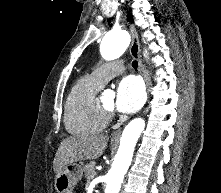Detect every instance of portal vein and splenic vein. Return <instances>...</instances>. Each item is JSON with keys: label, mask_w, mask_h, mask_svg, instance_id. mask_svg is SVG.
<instances>
[{"label": "portal vein and splenic vein", "mask_w": 221, "mask_h": 193, "mask_svg": "<svg viewBox=\"0 0 221 193\" xmlns=\"http://www.w3.org/2000/svg\"><path fill=\"white\" fill-rule=\"evenodd\" d=\"M94 176H96V172H94Z\"/></svg>", "instance_id": "1"}]
</instances>
